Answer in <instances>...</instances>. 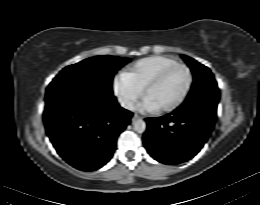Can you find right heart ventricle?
<instances>
[{
    "label": "right heart ventricle",
    "mask_w": 260,
    "mask_h": 205,
    "mask_svg": "<svg viewBox=\"0 0 260 205\" xmlns=\"http://www.w3.org/2000/svg\"><path fill=\"white\" fill-rule=\"evenodd\" d=\"M178 62L175 58L154 55L137 61L123 76L134 86L142 90L147 82L164 67Z\"/></svg>",
    "instance_id": "right-heart-ventricle-1"
}]
</instances>
